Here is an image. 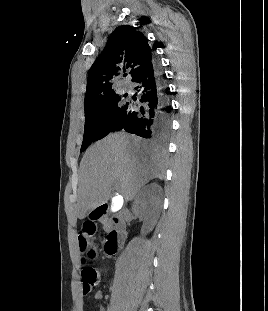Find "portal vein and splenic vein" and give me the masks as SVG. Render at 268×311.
Listing matches in <instances>:
<instances>
[{"instance_id":"1","label":"portal vein and splenic vein","mask_w":268,"mask_h":311,"mask_svg":"<svg viewBox=\"0 0 268 311\" xmlns=\"http://www.w3.org/2000/svg\"><path fill=\"white\" fill-rule=\"evenodd\" d=\"M114 186H115V188H117V187H118V184H117V183H115V185H114ZM114 199H115V200H121V201H122V198H121V197H115Z\"/></svg>"}]
</instances>
